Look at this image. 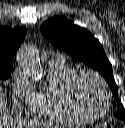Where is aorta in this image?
Listing matches in <instances>:
<instances>
[{"label":"aorta","mask_w":125,"mask_h":128,"mask_svg":"<svg viewBox=\"0 0 125 128\" xmlns=\"http://www.w3.org/2000/svg\"><path fill=\"white\" fill-rule=\"evenodd\" d=\"M18 61L22 65L28 66L32 69V72L35 73L37 76L41 75V69L39 67V61L37 57H35L31 48L25 47L22 49L18 55Z\"/></svg>","instance_id":"aorta-1"}]
</instances>
